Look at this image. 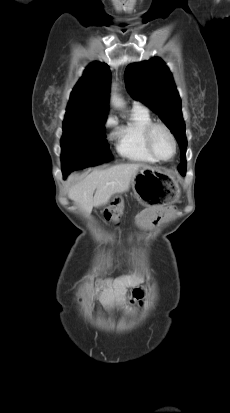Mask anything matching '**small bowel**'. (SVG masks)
Here are the masks:
<instances>
[{"label": "small bowel", "instance_id": "obj_1", "mask_svg": "<svg viewBox=\"0 0 230 413\" xmlns=\"http://www.w3.org/2000/svg\"><path fill=\"white\" fill-rule=\"evenodd\" d=\"M176 211L177 208L174 205H151L147 209H139L137 211L139 218H136L135 225L136 227H147L148 230L153 231L156 227H160L164 218H169L171 214H174ZM141 282L142 277L140 275H123L105 281L103 286L107 288L114 287L116 289L114 295L108 292L102 295V299L107 308L112 312L128 313L130 309L124 304L125 290L128 287H132V302L141 303L144 297V290L140 286ZM91 295L94 297L98 296V288L94 289Z\"/></svg>", "mask_w": 230, "mask_h": 413}]
</instances>
